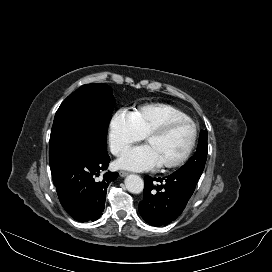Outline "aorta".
Segmentation results:
<instances>
[{
  "label": "aorta",
  "mask_w": 272,
  "mask_h": 272,
  "mask_svg": "<svg viewBox=\"0 0 272 272\" xmlns=\"http://www.w3.org/2000/svg\"><path fill=\"white\" fill-rule=\"evenodd\" d=\"M125 186L129 192L139 194L144 189V182L140 176L131 174L126 177Z\"/></svg>",
  "instance_id": "762f6f07"
}]
</instances>
